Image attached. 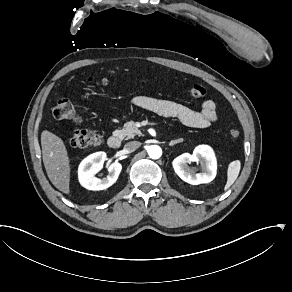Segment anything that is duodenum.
Instances as JSON below:
<instances>
[{"instance_id":"410a0bca","label":"duodenum","mask_w":292,"mask_h":292,"mask_svg":"<svg viewBox=\"0 0 292 292\" xmlns=\"http://www.w3.org/2000/svg\"><path fill=\"white\" fill-rule=\"evenodd\" d=\"M108 145L112 149H117L121 146V137L118 134L111 135L108 139Z\"/></svg>"}]
</instances>
